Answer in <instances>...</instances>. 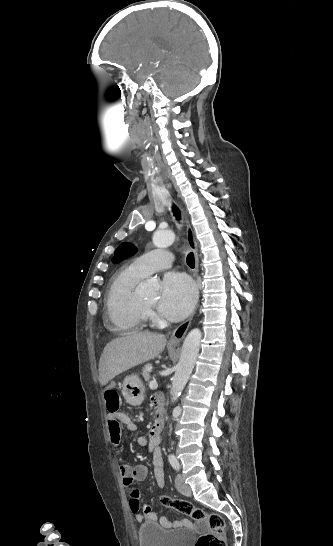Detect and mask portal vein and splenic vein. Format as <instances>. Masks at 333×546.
<instances>
[{"instance_id": "portal-vein-and-splenic-vein-1", "label": "portal vein and splenic vein", "mask_w": 333, "mask_h": 546, "mask_svg": "<svg viewBox=\"0 0 333 546\" xmlns=\"http://www.w3.org/2000/svg\"><path fill=\"white\" fill-rule=\"evenodd\" d=\"M149 387H150L151 389H156V388L158 387V384H157V382H156L155 380H152V381H150V383H149Z\"/></svg>"}]
</instances>
